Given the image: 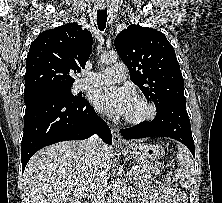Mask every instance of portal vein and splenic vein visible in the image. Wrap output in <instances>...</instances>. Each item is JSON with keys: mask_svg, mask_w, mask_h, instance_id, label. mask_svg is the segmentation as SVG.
<instances>
[{"mask_svg": "<svg viewBox=\"0 0 222 203\" xmlns=\"http://www.w3.org/2000/svg\"><path fill=\"white\" fill-rule=\"evenodd\" d=\"M135 169H136V167H135V166H132V169H131V170L133 171V170H135Z\"/></svg>", "mask_w": 222, "mask_h": 203, "instance_id": "18ae733b", "label": "portal vein and splenic vein"}]
</instances>
